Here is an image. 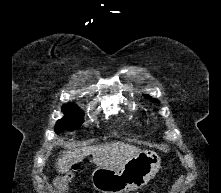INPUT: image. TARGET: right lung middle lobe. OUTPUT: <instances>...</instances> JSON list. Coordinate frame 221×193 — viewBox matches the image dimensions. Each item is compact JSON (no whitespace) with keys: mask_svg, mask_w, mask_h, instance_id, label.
Returning <instances> with one entry per match:
<instances>
[{"mask_svg":"<svg viewBox=\"0 0 221 193\" xmlns=\"http://www.w3.org/2000/svg\"><path fill=\"white\" fill-rule=\"evenodd\" d=\"M65 116L58 120L55 125V132L63 130H73L83 123V112L73 104L64 105L62 107Z\"/></svg>","mask_w":221,"mask_h":193,"instance_id":"right-lung-middle-lobe-1","label":"right lung middle lobe"}]
</instances>
